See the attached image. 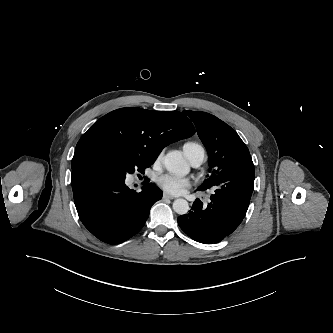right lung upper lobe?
I'll list each match as a JSON object with an SVG mask.
<instances>
[{
    "instance_id": "cb5924a9",
    "label": "right lung upper lobe",
    "mask_w": 333,
    "mask_h": 333,
    "mask_svg": "<svg viewBox=\"0 0 333 333\" xmlns=\"http://www.w3.org/2000/svg\"><path fill=\"white\" fill-rule=\"evenodd\" d=\"M194 133L191 121L178 111L117 109L99 119L80 138L71 165L81 163L87 150L99 147L156 158L167 145Z\"/></svg>"
}]
</instances>
